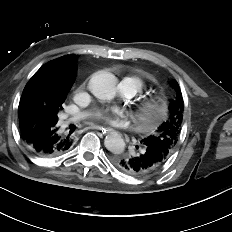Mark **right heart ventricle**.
Returning a JSON list of instances; mask_svg holds the SVG:
<instances>
[{
	"mask_svg": "<svg viewBox=\"0 0 232 232\" xmlns=\"http://www.w3.org/2000/svg\"><path fill=\"white\" fill-rule=\"evenodd\" d=\"M127 79L132 80L139 88V90H141L143 88V81L138 78V77H125Z\"/></svg>",
	"mask_w": 232,
	"mask_h": 232,
	"instance_id": "e07e8e85",
	"label": "right heart ventricle"
}]
</instances>
